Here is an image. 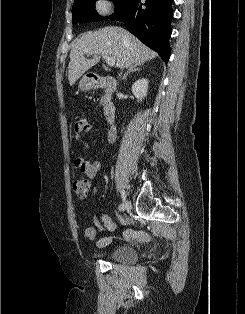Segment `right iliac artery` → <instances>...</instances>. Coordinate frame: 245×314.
<instances>
[{"label":"right iliac artery","mask_w":245,"mask_h":314,"mask_svg":"<svg viewBox=\"0 0 245 314\" xmlns=\"http://www.w3.org/2000/svg\"><path fill=\"white\" fill-rule=\"evenodd\" d=\"M121 193H122V196H123V198H124V192L123 191H121ZM125 199V198H124ZM122 206V205H121Z\"/></svg>","instance_id":"1"}]
</instances>
